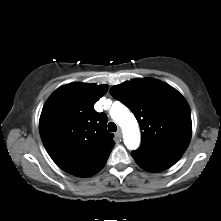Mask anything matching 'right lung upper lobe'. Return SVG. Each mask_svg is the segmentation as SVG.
Wrapping results in <instances>:
<instances>
[{"instance_id":"1","label":"right lung upper lobe","mask_w":221,"mask_h":221,"mask_svg":"<svg viewBox=\"0 0 221 221\" xmlns=\"http://www.w3.org/2000/svg\"><path fill=\"white\" fill-rule=\"evenodd\" d=\"M107 85L71 83L46 101L39 130L53 161L64 171L84 176L103 166L114 146L107 116L94 110Z\"/></svg>"}]
</instances>
